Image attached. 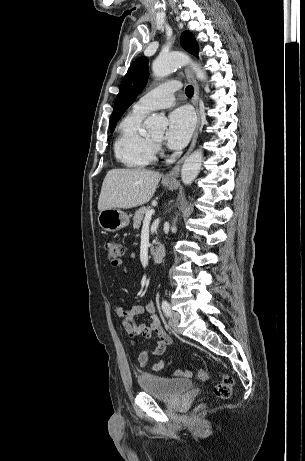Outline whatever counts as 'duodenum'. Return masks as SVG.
Here are the masks:
<instances>
[{
  "mask_svg": "<svg viewBox=\"0 0 305 461\" xmlns=\"http://www.w3.org/2000/svg\"><path fill=\"white\" fill-rule=\"evenodd\" d=\"M151 261L154 264H159L163 261L165 257V248L162 245L157 246L156 248L150 251Z\"/></svg>",
  "mask_w": 305,
  "mask_h": 461,
  "instance_id": "duodenum-1",
  "label": "duodenum"
}]
</instances>
